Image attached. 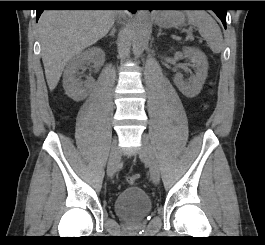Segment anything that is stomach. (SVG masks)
I'll return each mask as SVG.
<instances>
[{
	"instance_id": "obj_1",
	"label": "stomach",
	"mask_w": 265,
	"mask_h": 245,
	"mask_svg": "<svg viewBox=\"0 0 265 245\" xmlns=\"http://www.w3.org/2000/svg\"><path fill=\"white\" fill-rule=\"evenodd\" d=\"M185 15L181 11H163L158 13L156 22L162 28H178L184 25Z\"/></svg>"
}]
</instances>
